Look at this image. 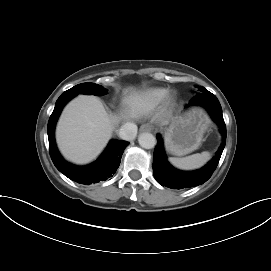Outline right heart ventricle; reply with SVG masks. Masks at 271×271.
<instances>
[{"label": "right heart ventricle", "instance_id": "1", "mask_svg": "<svg viewBox=\"0 0 271 271\" xmlns=\"http://www.w3.org/2000/svg\"><path fill=\"white\" fill-rule=\"evenodd\" d=\"M167 93L168 90L161 87L142 90L128 98L127 107L135 115L147 113L159 105Z\"/></svg>", "mask_w": 271, "mask_h": 271}]
</instances>
